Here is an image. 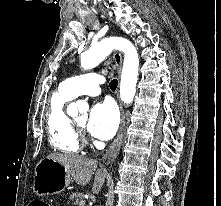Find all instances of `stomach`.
Instances as JSON below:
<instances>
[{"label": "stomach", "instance_id": "0dacf381", "mask_svg": "<svg viewBox=\"0 0 221 206\" xmlns=\"http://www.w3.org/2000/svg\"><path fill=\"white\" fill-rule=\"evenodd\" d=\"M70 182L65 166L56 160L47 157L35 167L33 190L38 196L61 193Z\"/></svg>", "mask_w": 221, "mask_h": 206}]
</instances>
